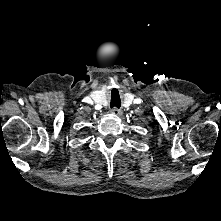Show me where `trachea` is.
Wrapping results in <instances>:
<instances>
[{"mask_svg":"<svg viewBox=\"0 0 221 221\" xmlns=\"http://www.w3.org/2000/svg\"><path fill=\"white\" fill-rule=\"evenodd\" d=\"M121 106V100H120V97L119 96H116V97H113L111 96V102H110V107L111 108H120Z\"/></svg>","mask_w":221,"mask_h":221,"instance_id":"3493384b","label":"trachea"}]
</instances>
